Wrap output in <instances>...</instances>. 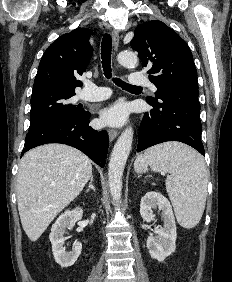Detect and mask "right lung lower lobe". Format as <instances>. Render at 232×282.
<instances>
[{
  "mask_svg": "<svg viewBox=\"0 0 232 282\" xmlns=\"http://www.w3.org/2000/svg\"><path fill=\"white\" fill-rule=\"evenodd\" d=\"M90 113L82 116H60L44 125L29 130L22 155L36 146L47 143H62L73 146L102 168L108 152V134L89 126Z\"/></svg>",
  "mask_w": 232,
  "mask_h": 282,
  "instance_id": "obj_1",
  "label": "right lung lower lobe"
}]
</instances>
